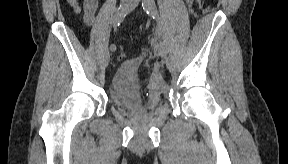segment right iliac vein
<instances>
[{
  "instance_id": "1",
  "label": "right iliac vein",
  "mask_w": 288,
  "mask_h": 164,
  "mask_svg": "<svg viewBox=\"0 0 288 164\" xmlns=\"http://www.w3.org/2000/svg\"><path fill=\"white\" fill-rule=\"evenodd\" d=\"M109 61H110V53H107V55H106V64L107 65H108Z\"/></svg>"
}]
</instances>
